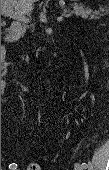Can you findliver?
Wrapping results in <instances>:
<instances>
[{"mask_svg": "<svg viewBox=\"0 0 109 170\" xmlns=\"http://www.w3.org/2000/svg\"><path fill=\"white\" fill-rule=\"evenodd\" d=\"M37 1L38 0H2V6L14 7L16 12L27 14L33 10V4Z\"/></svg>", "mask_w": 109, "mask_h": 170, "instance_id": "obj_1", "label": "liver"}]
</instances>
